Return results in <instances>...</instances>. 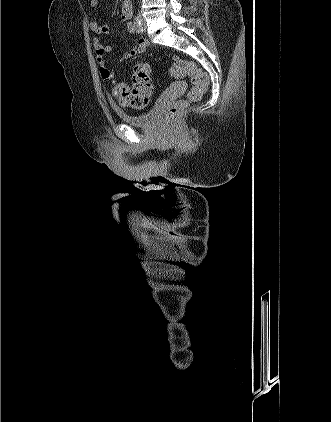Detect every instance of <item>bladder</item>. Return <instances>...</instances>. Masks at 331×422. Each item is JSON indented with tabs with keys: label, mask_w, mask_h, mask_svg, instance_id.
I'll return each mask as SVG.
<instances>
[{
	"label": "bladder",
	"mask_w": 331,
	"mask_h": 422,
	"mask_svg": "<svg viewBox=\"0 0 331 422\" xmlns=\"http://www.w3.org/2000/svg\"><path fill=\"white\" fill-rule=\"evenodd\" d=\"M119 118L127 125L149 129L152 128L158 118V107L153 106L146 112L139 114H129L124 111H118Z\"/></svg>",
	"instance_id": "bladder-1"
}]
</instances>
